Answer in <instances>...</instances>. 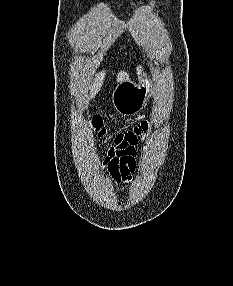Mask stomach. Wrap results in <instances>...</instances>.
I'll list each match as a JSON object with an SVG mask.
<instances>
[{
    "label": "stomach",
    "instance_id": "1",
    "mask_svg": "<svg viewBox=\"0 0 233 286\" xmlns=\"http://www.w3.org/2000/svg\"><path fill=\"white\" fill-rule=\"evenodd\" d=\"M151 90L152 81L145 73L139 77V84L121 81L112 94L113 106L121 115L133 116L145 106Z\"/></svg>",
    "mask_w": 233,
    "mask_h": 286
}]
</instances>
